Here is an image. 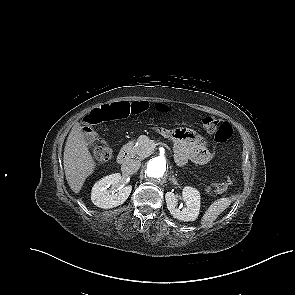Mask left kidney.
Returning <instances> with one entry per match:
<instances>
[{
    "mask_svg": "<svg viewBox=\"0 0 295 295\" xmlns=\"http://www.w3.org/2000/svg\"><path fill=\"white\" fill-rule=\"evenodd\" d=\"M182 198L186 207L177 208V197L173 192L165 194L167 208L170 214L181 221H194L199 215L200 210V193L197 189L186 186L182 191Z\"/></svg>",
    "mask_w": 295,
    "mask_h": 295,
    "instance_id": "5707ae66",
    "label": "left kidney"
}]
</instances>
